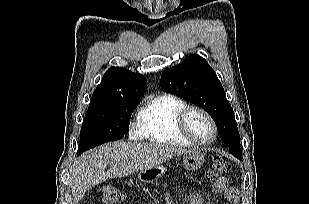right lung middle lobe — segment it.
Masks as SVG:
<instances>
[{
    "label": "right lung middle lobe",
    "mask_w": 309,
    "mask_h": 204,
    "mask_svg": "<svg viewBox=\"0 0 309 204\" xmlns=\"http://www.w3.org/2000/svg\"><path fill=\"white\" fill-rule=\"evenodd\" d=\"M139 102L140 99H117L89 104L80 132L78 155L127 134L131 114Z\"/></svg>",
    "instance_id": "right-lung-middle-lobe-1"
}]
</instances>
